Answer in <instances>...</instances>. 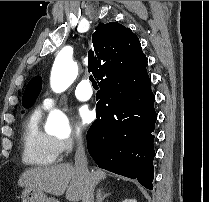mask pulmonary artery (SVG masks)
Masks as SVG:
<instances>
[{"label": "pulmonary artery", "mask_w": 209, "mask_h": 202, "mask_svg": "<svg viewBox=\"0 0 209 202\" xmlns=\"http://www.w3.org/2000/svg\"><path fill=\"white\" fill-rule=\"evenodd\" d=\"M93 89L87 80H82L76 87L75 96L80 101H87L92 97ZM58 103L56 97H47L42 102L45 110L52 109Z\"/></svg>", "instance_id": "e3ab8cb5"}]
</instances>
